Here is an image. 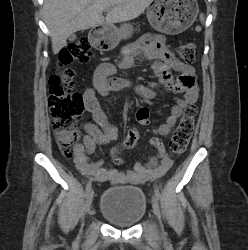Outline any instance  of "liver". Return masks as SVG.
Listing matches in <instances>:
<instances>
[{"mask_svg": "<svg viewBox=\"0 0 248 250\" xmlns=\"http://www.w3.org/2000/svg\"><path fill=\"white\" fill-rule=\"evenodd\" d=\"M153 0H45L43 15L49 29L53 53L66 46L76 31L103 23L114 24L140 16ZM109 9L106 17L104 10Z\"/></svg>", "mask_w": 248, "mask_h": 250, "instance_id": "liver-1", "label": "liver"}]
</instances>
